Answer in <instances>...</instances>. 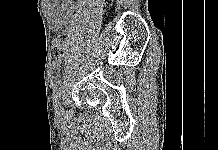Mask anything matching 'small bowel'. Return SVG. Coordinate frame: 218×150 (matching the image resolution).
Wrapping results in <instances>:
<instances>
[{"instance_id":"1","label":"small bowel","mask_w":218,"mask_h":150,"mask_svg":"<svg viewBox=\"0 0 218 150\" xmlns=\"http://www.w3.org/2000/svg\"><path fill=\"white\" fill-rule=\"evenodd\" d=\"M49 0L50 15L52 19V28L57 30L68 24L74 15L75 8L73 0Z\"/></svg>"}]
</instances>
